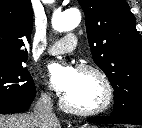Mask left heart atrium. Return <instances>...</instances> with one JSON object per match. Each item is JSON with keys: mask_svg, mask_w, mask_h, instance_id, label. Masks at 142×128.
<instances>
[{"mask_svg": "<svg viewBox=\"0 0 142 128\" xmlns=\"http://www.w3.org/2000/svg\"><path fill=\"white\" fill-rule=\"evenodd\" d=\"M48 78L51 85L64 96L70 94L78 83L79 71L74 67L54 63L48 68Z\"/></svg>", "mask_w": 142, "mask_h": 128, "instance_id": "obj_1", "label": "left heart atrium"}]
</instances>
